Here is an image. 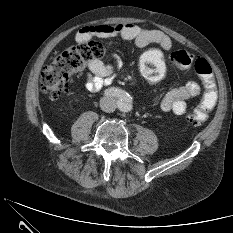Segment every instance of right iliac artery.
<instances>
[{
  "instance_id": "82829eb1",
  "label": "right iliac artery",
  "mask_w": 233,
  "mask_h": 233,
  "mask_svg": "<svg viewBox=\"0 0 233 233\" xmlns=\"http://www.w3.org/2000/svg\"><path fill=\"white\" fill-rule=\"evenodd\" d=\"M105 95L106 96H116V97L121 98V100H122V98L125 97V93L122 90L117 89V88H111V89L105 91Z\"/></svg>"
}]
</instances>
